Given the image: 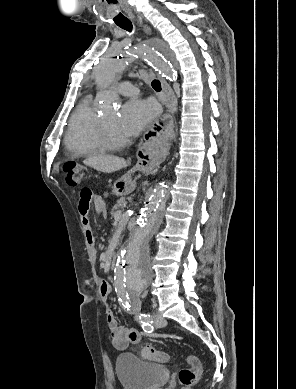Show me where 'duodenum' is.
Listing matches in <instances>:
<instances>
[{
  "label": "duodenum",
  "instance_id": "410a0bca",
  "mask_svg": "<svg viewBox=\"0 0 296 389\" xmlns=\"http://www.w3.org/2000/svg\"><path fill=\"white\" fill-rule=\"evenodd\" d=\"M115 262H116V255H112L111 260H110L111 268H114Z\"/></svg>",
  "mask_w": 296,
  "mask_h": 389
}]
</instances>
